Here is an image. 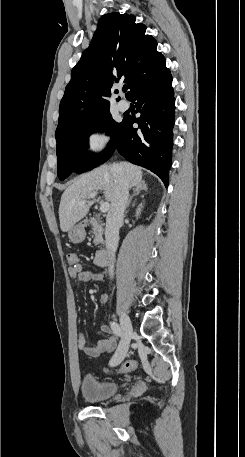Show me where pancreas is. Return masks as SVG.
<instances>
[{
  "label": "pancreas",
  "instance_id": "cf45deb5",
  "mask_svg": "<svg viewBox=\"0 0 245 457\" xmlns=\"http://www.w3.org/2000/svg\"><path fill=\"white\" fill-rule=\"evenodd\" d=\"M90 224L93 226V233H94V239L93 243L98 247V245H103L104 239H103V226L100 224L99 220L97 218H91Z\"/></svg>",
  "mask_w": 245,
  "mask_h": 457
}]
</instances>
